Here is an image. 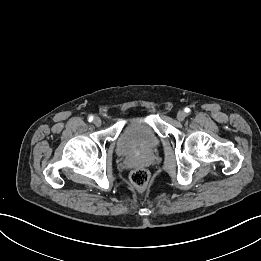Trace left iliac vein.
Wrapping results in <instances>:
<instances>
[{"mask_svg": "<svg viewBox=\"0 0 261 261\" xmlns=\"http://www.w3.org/2000/svg\"><path fill=\"white\" fill-rule=\"evenodd\" d=\"M185 118H186V113H185L184 111H179V112L177 113V119H178L179 121H183Z\"/></svg>", "mask_w": 261, "mask_h": 261, "instance_id": "1", "label": "left iliac vein"}]
</instances>
